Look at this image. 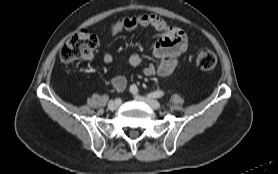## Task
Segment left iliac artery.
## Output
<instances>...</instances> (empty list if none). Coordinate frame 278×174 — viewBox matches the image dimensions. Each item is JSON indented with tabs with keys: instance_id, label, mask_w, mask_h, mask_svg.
<instances>
[{
	"instance_id": "obj_1",
	"label": "left iliac artery",
	"mask_w": 278,
	"mask_h": 174,
	"mask_svg": "<svg viewBox=\"0 0 278 174\" xmlns=\"http://www.w3.org/2000/svg\"><path fill=\"white\" fill-rule=\"evenodd\" d=\"M130 91L134 94H137L139 92L137 86L134 85V84L130 86ZM163 95H164L163 91L157 90V91H154V92H151V93L147 94L146 96L148 98H160Z\"/></svg>"
}]
</instances>
